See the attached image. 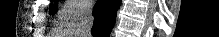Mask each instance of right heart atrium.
Masks as SVG:
<instances>
[{
    "instance_id": "1",
    "label": "right heart atrium",
    "mask_w": 219,
    "mask_h": 37,
    "mask_svg": "<svg viewBox=\"0 0 219 37\" xmlns=\"http://www.w3.org/2000/svg\"><path fill=\"white\" fill-rule=\"evenodd\" d=\"M91 2L86 0H67L61 11V17L76 21L84 17L90 10Z\"/></svg>"
}]
</instances>
